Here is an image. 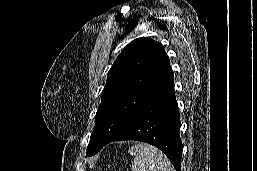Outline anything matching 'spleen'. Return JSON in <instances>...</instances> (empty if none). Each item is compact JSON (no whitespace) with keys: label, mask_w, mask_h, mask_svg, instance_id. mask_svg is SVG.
<instances>
[{"label":"spleen","mask_w":257,"mask_h":171,"mask_svg":"<svg viewBox=\"0 0 257 171\" xmlns=\"http://www.w3.org/2000/svg\"><path fill=\"white\" fill-rule=\"evenodd\" d=\"M129 153L134 156L132 171H175L169 159L152 145L139 143Z\"/></svg>","instance_id":"1"}]
</instances>
